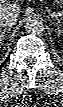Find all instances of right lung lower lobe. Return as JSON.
Returning a JSON list of instances; mask_svg holds the SVG:
<instances>
[{
    "mask_svg": "<svg viewBox=\"0 0 63 107\" xmlns=\"http://www.w3.org/2000/svg\"><path fill=\"white\" fill-rule=\"evenodd\" d=\"M8 58H9V56L7 57V59L5 60V62L8 60ZM4 62V63H5ZM4 63H2L1 65H0V67H2L3 65H4Z\"/></svg>",
    "mask_w": 63,
    "mask_h": 107,
    "instance_id": "obj_1",
    "label": "right lung lower lobe"
}]
</instances>
